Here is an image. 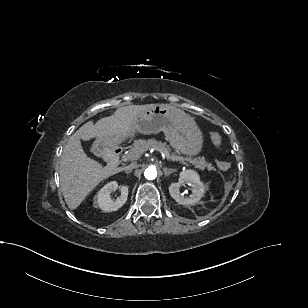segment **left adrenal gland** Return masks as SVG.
I'll return each instance as SVG.
<instances>
[{
    "instance_id": "1",
    "label": "left adrenal gland",
    "mask_w": 308,
    "mask_h": 308,
    "mask_svg": "<svg viewBox=\"0 0 308 308\" xmlns=\"http://www.w3.org/2000/svg\"><path fill=\"white\" fill-rule=\"evenodd\" d=\"M163 170H164L165 176H169L171 173L176 171V169H172V168L171 169L163 168Z\"/></svg>"
}]
</instances>
